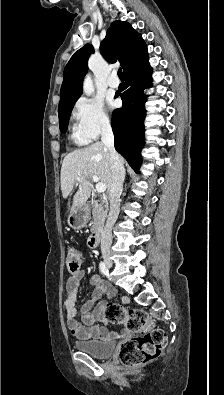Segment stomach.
I'll use <instances>...</instances> for the list:
<instances>
[{"label":"stomach","instance_id":"obj_1","mask_svg":"<svg viewBox=\"0 0 224 395\" xmlns=\"http://www.w3.org/2000/svg\"><path fill=\"white\" fill-rule=\"evenodd\" d=\"M90 219V208L83 204L75 208L67 218L68 225L73 229H81L86 226Z\"/></svg>","mask_w":224,"mask_h":395}]
</instances>
